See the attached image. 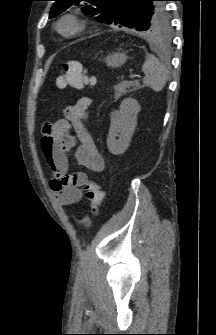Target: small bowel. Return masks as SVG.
<instances>
[{
    "label": "small bowel",
    "mask_w": 216,
    "mask_h": 335,
    "mask_svg": "<svg viewBox=\"0 0 216 335\" xmlns=\"http://www.w3.org/2000/svg\"><path fill=\"white\" fill-rule=\"evenodd\" d=\"M90 106L91 99L83 96L64 109L63 118L46 123L42 127L41 149L52 174L49 184L60 205L80 202L83 198L82 186L87 181L85 173H68L69 164L65 149L76 146L70 133L71 126L76 130L81 142L75 152L78 163L96 173L104 169V160L84 124L89 118Z\"/></svg>",
    "instance_id": "obj_1"
}]
</instances>
